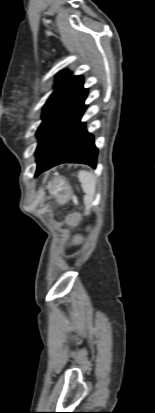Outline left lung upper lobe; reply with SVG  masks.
Instances as JSON below:
<instances>
[{"label": "left lung upper lobe", "mask_w": 155, "mask_h": 413, "mask_svg": "<svg viewBox=\"0 0 155 413\" xmlns=\"http://www.w3.org/2000/svg\"><path fill=\"white\" fill-rule=\"evenodd\" d=\"M86 97L87 89L83 88L82 76H71L67 71L57 75L55 90L43 107V121L36 132L37 167L59 151L60 143L57 141L78 123L86 109Z\"/></svg>", "instance_id": "1"}]
</instances>
